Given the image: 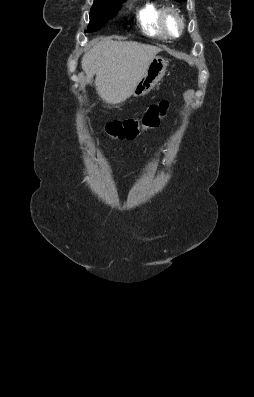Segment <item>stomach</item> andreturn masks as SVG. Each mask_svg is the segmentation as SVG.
Instances as JSON below:
<instances>
[{
	"instance_id": "stomach-1",
	"label": "stomach",
	"mask_w": 254,
	"mask_h": 397,
	"mask_svg": "<svg viewBox=\"0 0 254 397\" xmlns=\"http://www.w3.org/2000/svg\"><path fill=\"white\" fill-rule=\"evenodd\" d=\"M167 62L160 56H155L149 63L144 75L137 83L133 91V97H141L147 94L165 75Z\"/></svg>"
}]
</instances>
